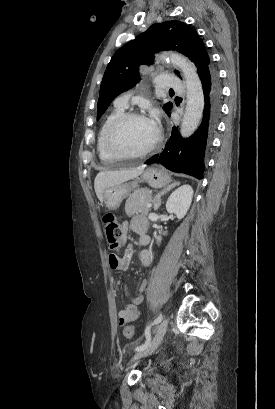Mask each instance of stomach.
<instances>
[{
  "instance_id": "0dacf381",
  "label": "stomach",
  "mask_w": 275,
  "mask_h": 409,
  "mask_svg": "<svg viewBox=\"0 0 275 409\" xmlns=\"http://www.w3.org/2000/svg\"><path fill=\"white\" fill-rule=\"evenodd\" d=\"M141 178L148 182L149 186H153V188H162V186H168L169 182H171L169 174L161 170V168H155V166L146 168ZM138 182H141L140 178H134L132 182H123V184H114L110 188H105L103 192L105 207L110 209V211L118 209L122 198H125L133 188L139 186Z\"/></svg>"
}]
</instances>
